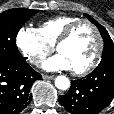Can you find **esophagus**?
I'll use <instances>...</instances> for the list:
<instances>
[{
    "mask_svg": "<svg viewBox=\"0 0 114 114\" xmlns=\"http://www.w3.org/2000/svg\"><path fill=\"white\" fill-rule=\"evenodd\" d=\"M42 78H43L44 80H52V79L54 78V76L43 74V75H42Z\"/></svg>",
    "mask_w": 114,
    "mask_h": 114,
    "instance_id": "obj_1",
    "label": "esophagus"
}]
</instances>
